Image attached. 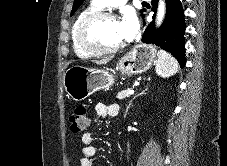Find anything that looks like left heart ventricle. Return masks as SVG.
I'll list each match as a JSON object with an SVG mask.
<instances>
[{"instance_id": "obj_1", "label": "left heart ventricle", "mask_w": 227, "mask_h": 166, "mask_svg": "<svg viewBox=\"0 0 227 166\" xmlns=\"http://www.w3.org/2000/svg\"><path fill=\"white\" fill-rule=\"evenodd\" d=\"M89 34L94 42L106 48L117 46L125 40L120 20H102L90 27Z\"/></svg>"}]
</instances>
